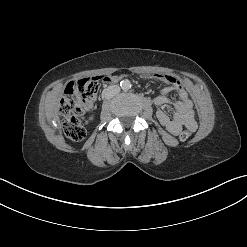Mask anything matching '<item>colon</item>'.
<instances>
[{
    "label": "colon",
    "instance_id": "colon-1",
    "mask_svg": "<svg viewBox=\"0 0 247 247\" xmlns=\"http://www.w3.org/2000/svg\"><path fill=\"white\" fill-rule=\"evenodd\" d=\"M101 77L83 78L76 82H69L59 103V113L62 118L66 136L73 141H80L85 137L82 127L85 106L93 101L100 89ZM191 131L183 130L180 140L189 139Z\"/></svg>",
    "mask_w": 247,
    "mask_h": 247
}]
</instances>
